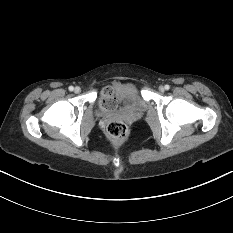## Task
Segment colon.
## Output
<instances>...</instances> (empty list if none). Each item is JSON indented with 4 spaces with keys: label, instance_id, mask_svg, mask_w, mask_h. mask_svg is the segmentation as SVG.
I'll use <instances>...</instances> for the list:
<instances>
[{
    "label": "colon",
    "instance_id": "colon-1",
    "mask_svg": "<svg viewBox=\"0 0 233 233\" xmlns=\"http://www.w3.org/2000/svg\"><path fill=\"white\" fill-rule=\"evenodd\" d=\"M109 106H113L112 100L107 102ZM108 137L115 142H121L128 136V127L123 121H112L107 127Z\"/></svg>",
    "mask_w": 233,
    "mask_h": 233
}]
</instances>
